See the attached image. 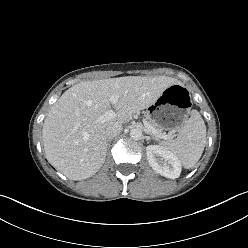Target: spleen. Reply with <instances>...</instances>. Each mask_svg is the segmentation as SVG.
Here are the masks:
<instances>
[{
  "label": "spleen",
  "instance_id": "spleen-1",
  "mask_svg": "<svg viewBox=\"0 0 248 248\" xmlns=\"http://www.w3.org/2000/svg\"><path fill=\"white\" fill-rule=\"evenodd\" d=\"M206 145V126L197 110L191 111L187 122L179 129L178 136L163 144L174 154L184 168H193L200 159Z\"/></svg>",
  "mask_w": 248,
  "mask_h": 248
}]
</instances>
